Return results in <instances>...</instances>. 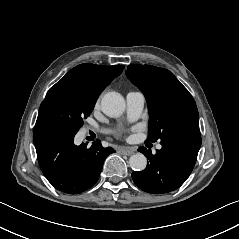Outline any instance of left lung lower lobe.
I'll return each instance as SVG.
<instances>
[{
  "label": "left lung lower lobe",
  "instance_id": "left-lung-lower-lobe-1",
  "mask_svg": "<svg viewBox=\"0 0 239 239\" xmlns=\"http://www.w3.org/2000/svg\"><path fill=\"white\" fill-rule=\"evenodd\" d=\"M162 148L153 155L140 147L149 162L140 172H133L135 184L148 193L161 194L179 188L189 177L201 146L199 130L182 129L161 138Z\"/></svg>",
  "mask_w": 239,
  "mask_h": 239
}]
</instances>
